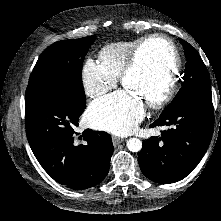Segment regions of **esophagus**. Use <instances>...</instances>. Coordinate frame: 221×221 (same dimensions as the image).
Here are the masks:
<instances>
[{
	"label": "esophagus",
	"mask_w": 221,
	"mask_h": 221,
	"mask_svg": "<svg viewBox=\"0 0 221 221\" xmlns=\"http://www.w3.org/2000/svg\"><path fill=\"white\" fill-rule=\"evenodd\" d=\"M123 141H124V139H122V138L112 136V142H113L114 147H117Z\"/></svg>",
	"instance_id": "esophagus-1"
}]
</instances>
